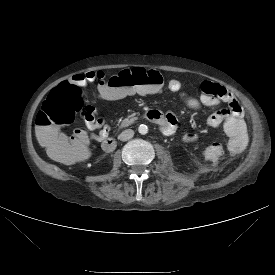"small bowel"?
<instances>
[{"label":"small bowel","instance_id":"small-bowel-1","mask_svg":"<svg viewBox=\"0 0 275 275\" xmlns=\"http://www.w3.org/2000/svg\"><path fill=\"white\" fill-rule=\"evenodd\" d=\"M102 78V72H87L85 74H76L72 76L70 82L85 87L95 79ZM167 87L172 92H179L182 90L183 85L178 79L172 78L167 81ZM200 90L202 94L198 98L184 95V102L189 108L194 110L203 107H215L223 103V109L210 113L206 118V122L211 127L222 125L228 136L229 151L233 154L240 153L248 143V134L242 109L235 96L225 87L217 83H212L210 80H203L200 83ZM149 119L156 126H159L161 131L166 135H172L177 130V117L171 112L165 114L158 110H152L149 114ZM85 124L89 130H99L98 133L89 134V141L101 142L105 140L108 135V127L105 125L103 119L96 117L95 110L85 119ZM78 133L84 136L83 132L78 131ZM184 139L193 141L196 139V135L187 134L184 136ZM224 154L225 149L223 145L218 141L212 140L205 145L201 153V158L205 164L215 166L220 163Z\"/></svg>","mask_w":275,"mask_h":275}]
</instances>
